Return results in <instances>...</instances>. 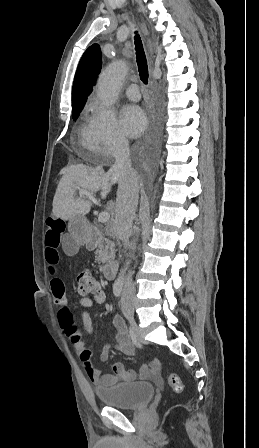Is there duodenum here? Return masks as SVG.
Masks as SVG:
<instances>
[{"instance_id": "1", "label": "duodenum", "mask_w": 259, "mask_h": 448, "mask_svg": "<svg viewBox=\"0 0 259 448\" xmlns=\"http://www.w3.org/2000/svg\"><path fill=\"white\" fill-rule=\"evenodd\" d=\"M103 236V233L101 230L97 227H90L87 231V240H86V246L88 249H93L97 246L98 242L100 241L101 237ZM118 271V266L116 262L110 261L106 262L103 266V274L106 279L113 280L115 279Z\"/></svg>"}]
</instances>
